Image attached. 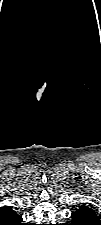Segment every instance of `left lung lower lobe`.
<instances>
[{
    "instance_id": "left-lung-lower-lobe-1",
    "label": "left lung lower lobe",
    "mask_w": 101,
    "mask_h": 225,
    "mask_svg": "<svg viewBox=\"0 0 101 225\" xmlns=\"http://www.w3.org/2000/svg\"><path fill=\"white\" fill-rule=\"evenodd\" d=\"M72 222L69 225H99V218L89 207L81 206L71 214Z\"/></svg>"
}]
</instances>
